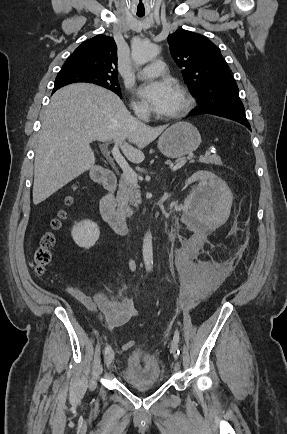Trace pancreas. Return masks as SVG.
Segmentation results:
<instances>
[{"instance_id": "pancreas-1", "label": "pancreas", "mask_w": 287, "mask_h": 434, "mask_svg": "<svg viewBox=\"0 0 287 434\" xmlns=\"http://www.w3.org/2000/svg\"><path fill=\"white\" fill-rule=\"evenodd\" d=\"M179 159L178 161H180ZM193 162V161H191ZM199 162L205 164L221 165L222 161L217 155L206 154L199 158ZM140 203L139 186L135 183H130L124 175L119 181V190L116 197L117 212L123 217H129L133 211L131 206H137Z\"/></svg>"}]
</instances>
